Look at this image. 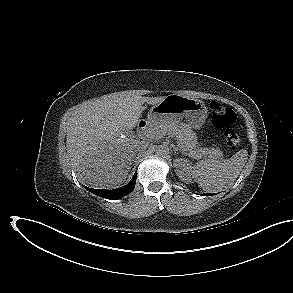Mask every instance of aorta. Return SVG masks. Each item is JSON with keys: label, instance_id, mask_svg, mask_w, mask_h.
<instances>
[{"label": "aorta", "instance_id": "1", "mask_svg": "<svg viewBox=\"0 0 293 293\" xmlns=\"http://www.w3.org/2000/svg\"><path fill=\"white\" fill-rule=\"evenodd\" d=\"M156 154L159 156H165L168 153V148L163 146V145H159L156 147Z\"/></svg>", "mask_w": 293, "mask_h": 293}]
</instances>
